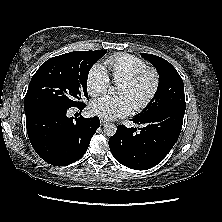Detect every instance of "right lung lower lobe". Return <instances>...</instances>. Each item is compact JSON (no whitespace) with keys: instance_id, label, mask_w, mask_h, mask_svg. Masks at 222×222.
Masks as SVG:
<instances>
[{"instance_id":"right-lung-lower-lobe-1","label":"right lung lower lobe","mask_w":222,"mask_h":222,"mask_svg":"<svg viewBox=\"0 0 222 222\" xmlns=\"http://www.w3.org/2000/svg\"><path fill=\"white\" fill-rule=\"evenodd\" d=\"M85 107L83 104L77 108L81 111ZM68 109L60 105H43L25 111L31 145L51 165L64 166L79 160L100 127L97 116H80L73 121L66 115Z\"/></svg>"}]
</instances>
